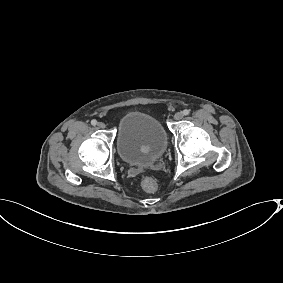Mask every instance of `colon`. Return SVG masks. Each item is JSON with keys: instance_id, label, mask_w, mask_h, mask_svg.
<instances>
[{"instance_id": "colon-1", "label": "colon", "mask_w": 283, "mask_h": 283, "mask_svg": "<svg viewBox=\"0 0 283 283\" xmlns=\"http://www.w3.org/2000/svg\"><path fill=\"white\" fill-rule=\"evenodd\" d=\"M141 187L148 193H154L156 192L158 185L153 178L146 176L141 181Z\"/></svg>"}]
</instances>
